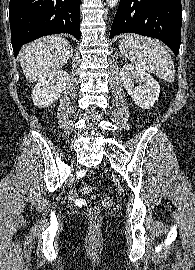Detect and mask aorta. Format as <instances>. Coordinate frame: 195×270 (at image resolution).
I'll list each match as a JSON object with an SVG mask.
<instances>
[{"label":"aorta","instance_id":"1","mask_svg":"<svg viewBox=\"0 0 195 270\" xmlns=\"http://www.w3.org/2000/svg\"><path fill=\"white\" fill-rule=\"evenodd\" d=\"M108 7L115 8L119 3V0H106Z\"/></svg>","mask_w":195,"mask_h":270}]
</instances>
